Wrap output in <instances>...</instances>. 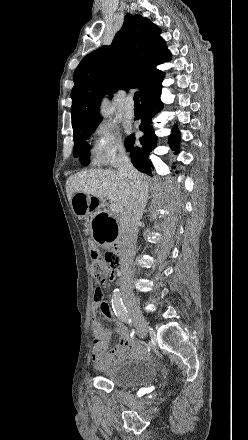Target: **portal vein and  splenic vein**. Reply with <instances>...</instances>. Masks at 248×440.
<instances>
[{
    "label": "portal vein and splenic vein",
    "mask_w": 248,
    "mask_h": 440,
    "mask_svg": "<svg viewBox=\"0 0 248 440\" xmlns=\"http://www.w3.org/2000/svg\"><path fill=\"white\" fill-rule=\"evenodd\" d=\"M110 211L114 213H121L123 211V207L118 203H112L110 204Z\"/></svg>",
    "instance_id": "portal-vein-and-splenic-vein-1"
}]
</instances>
